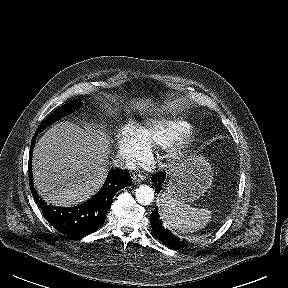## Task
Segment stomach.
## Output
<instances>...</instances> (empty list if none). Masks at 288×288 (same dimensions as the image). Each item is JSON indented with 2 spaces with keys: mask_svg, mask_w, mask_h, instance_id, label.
<instances>
[{
  "mask_svg": "<svg viewBox=\"0 0 288 288\" xmlns=\"http://www.w3.org/2000/svg\"><path fill=\"white\" fill-rule=\"evenodd\" d=\"M212 181L213 171L208 160L201 155H191L173 170L164 195L191 203L207 192Z\"/></svg>",
  "mask_w": 288,
  "mask_h": 288,
  "instance_id": "obj_1",
  "label": "stomach"
}]
</instances>
